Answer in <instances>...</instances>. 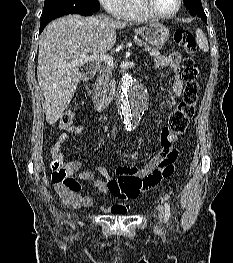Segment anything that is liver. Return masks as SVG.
Segmentation results:
<instances>
[{
  "label": "liver",
  "mask_w": 233,
  "mask_h": 263,
  "mask_svg": "<svg viewBox=\"0 0 233 263\" xmlns=\"http://www.w3.org/2000/svg\"><path fill=\"white\" fill-rule=\"evenodd\" d=\"M128 22L106 16L68 15L50 22L39 39L37 78L45 97L46 121L54 124L68 107L81 78L79 66H65L82 55L106 54L116 29Z\"/></svg>",
  "instance_id": "obj_1"
}]
</instances>
